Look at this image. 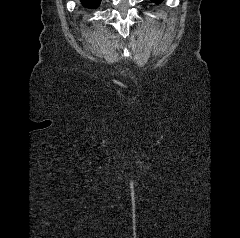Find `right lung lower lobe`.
Here are the masks:
<instances>
[{
	"label": "right lung lower lobe",
	"mask_w": 240,
	"mask_h": 238,
	"mask_svg": "<svg viewBox=\"0 0 240 238\" xmlns=\"http://www.w3.org/2000/svg\"><path fill=\"white\" fill-rule=\"evenodd\" d=\"M82 4L89 8H96L99 6L101 0H81Z\"/></svg>",
	"instance_id": "1"
}]
</instances>
